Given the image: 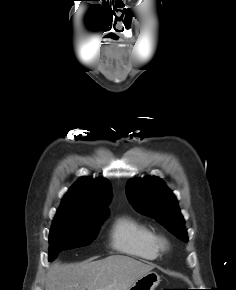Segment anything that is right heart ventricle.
Returning a JSON list of instances; mask_svg holds the SVG:
<instances>
[{
    "mask_svg": "<svg viewBox=\"0 0 236 290\" xmlns=\"http://www.w3.org/2000/svg\"><path fill=\"white\" fill-rule=\"evenodd\" d=\"M110 244L120 253L143 260H155L160 252L153 230L130 215L115 219L110 231Z\"/></svg>",
    "mask_w": 236,
    "mask_h": 290,
    "instance_id": "1",
    "label": "right heart ventricle"
}]
</instances>
